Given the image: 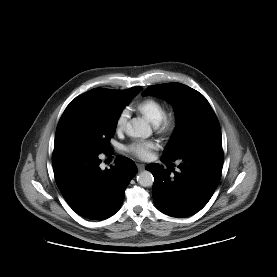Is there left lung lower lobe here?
Wrapping results in <instances>:
<instances>
[{"label": "left lung lower lobe", "instance_id": "0a47b994", "mask_svg": "<svg viewBox=\"0 0 277 277\" xmlns=\"http://www.w3.org/2000/svg\"><path fill=\"white\" fill-rule=\"evenodd\" d=\"M223 158L222 145L218 144L185 155L179 160L180 171L174 174L157 163L148 164L146 169L155 179L152 196L156 207L174 217L190 216L201 210L218 186Z\"/></svg>", "mask_w": 277, "mask_h": 277}]
</instances>
